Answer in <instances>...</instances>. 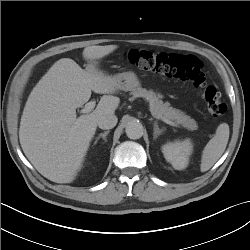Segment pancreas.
Wrapping results in <instances>:
<instances>
[{"instance_id":"1","label":"pancreas","mask_w":250,"mask_h":250,"mask_svg":"<svg viewBox=\"0 0 250 250\" xmlns=\"http://www.w3.org/2000/svg\"><path fill=\"white\" fill-rule=\"evenodd\" d=\"M134 97H142L149 102L150 111L155 117H164L173 121L177 125H182L188 130H197L198 125L194 119L185 112L173 108L169 102H163L162 96L144 88H137L131 92Z\"/></svg>"}]
</instances>
